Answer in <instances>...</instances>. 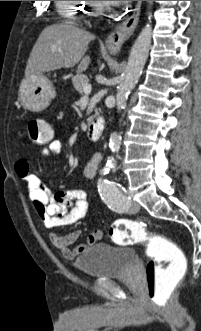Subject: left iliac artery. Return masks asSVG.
Here are the masks:
<instances>
[{
	"mask_svg": "<svg viewBox=\"0 0 201 331\" xmlns=\"http://www.w3.org/2000/svg\"><path fill=\"white\" fill-rule=\"evenodd\" d=\"M108 171L105 172V174ZM98 191L103 201L110 209L118 213L125 212L130 206V197H127L124 189L119 184L105 178L98 180Z\"/></svg>",
	"mask_w": 201,
	"mask_h": 331,
	"instance_id": "obj_1",
	"label": "left iliac artery"
}]
</instances>
